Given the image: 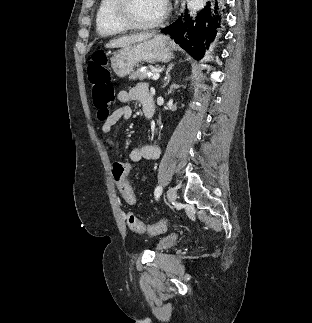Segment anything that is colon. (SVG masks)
Listing matches in <instances>:
<instances>
[{
    "label": "colon",
    "instance_id": "1",
    "mask_svg": "<svg viewBox=\"0 0 312 323\" xmlns=\"http://www.w3.org/2000/svg\"><path fill=\"white\" fill-rule=\"evenodd\" d=\"M108 60L103 51L95 53L93 60L88 66V78L92 84L93 105L101 112L98 114V121H107V115L110 113L109 107L114 101V84L111 81V74L107 68ZM112 167V176L125 199L127 204L132 202V189L126 180L127 172L131 170L130 160H114ZM130 165V166H129ZM132 209L137 207L135 202L130 204ZM128 218V228L132 233L136 234H161L167 231L169 221L164 219L155 224H147L137 220L133 215V210H126Z\"/></svg>",
    "mask_w": 312,
    "mask_h": 323
}]
</instances>
